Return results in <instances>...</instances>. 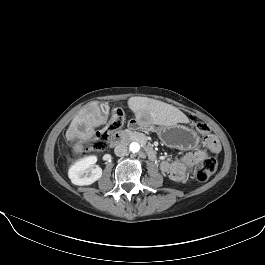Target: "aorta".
<instances>
[{
  "label": "aorta",
  "instance_id": "obj_1",
  "mask_svg": "<svg viewBox=\"0 0 265 265\" xmlns=\"http://www.w3.org/2000/svg\"><path fill=\"white\" fill-rule=\"evenodd\" d=\"M129 150L132 153H138L140 151V144L138 142H131L129 145Z\"/></svg>",
  "mask_w": 265,
  "mask_h": 265
}]
</instances>
